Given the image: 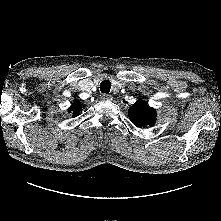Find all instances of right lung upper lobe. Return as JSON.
Instances as JSON below:
<instances>
[{
  "label": "right lung upper lobe",
  "instance_id": "obj_1",
  "mask_svg": "<svg viewBox=\"0 0 221 221\" xmlns=\"http://www.w3.org/2000/svg\"><path fill=\"white\" fill-rule=\"evenodd\" d=\"M82 109V105L78 100H75L72 106L69 108V113H72V117H76L79 115L80 110Z\"/></svg>",
  "mask_w": 221,
  "mask_h": 221
}]
</instances>
